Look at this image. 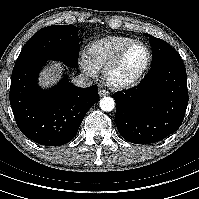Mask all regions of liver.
Returning <instances> with one entry per match:
<instances>
[{"label":"liver","instance_id":"liver-1","mask_svg":"<svg viewBox=\"0 0 199 199\" xmlns=\"http://www.w3.org/2000/svg\"><path fill=\"white\" fill-rule=\"evenodd\" d=\"M59 64L52 65L41 72L40 84L42 87L47 88L56 84L59 80L60 71L58 70Z\"/></svg>","mask_w":199,"mask_h":199}]
</instances>
